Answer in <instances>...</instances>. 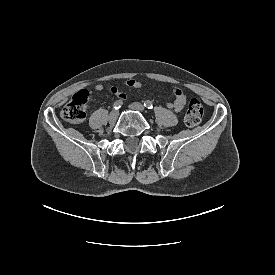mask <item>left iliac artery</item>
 Here are the masks:
<instances>
[{"label": "left iliac artery", "instance_id": "44dca946", "mask_svg": "<svg viewBox=\"0 0 275 275\" xmlns=\"http://www.w3.org/2000/svg\"><path fill=\"white\" fill-rule=\"evenodd\" d=\"M144 106L148 109H152L153 108V105H152V102L147 100L144 102Z\"/></svg>", "mask_w": 275, "mask_h": 275}]
</instances>
